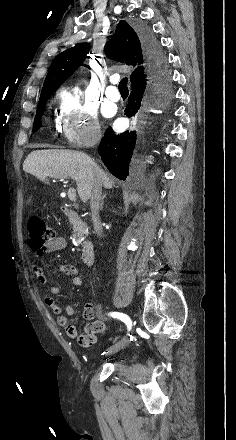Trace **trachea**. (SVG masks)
Instances as JSON below:
<instances>
[{
	"label": "trachea",
	"instance_id": "1",
	"mask_svg": "<svg viewBox=\"0 0 236 440\" xmlns=\"http://www.w3.org/2000/svg\"><path fill=\"white\" fill-rule=\"evenodd\" d=\"M127 83H128V78H127V77L123 78V79L119 82V86H118L119 90H120V91H128Z\"/></svg>",
	"mask_w": 236,
	"mask_h": 440
}]
</instances>
